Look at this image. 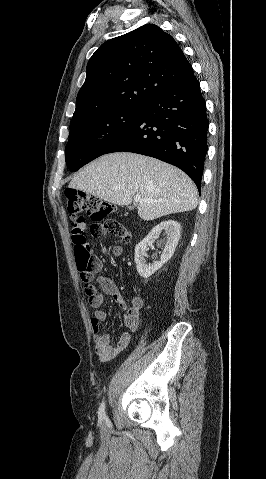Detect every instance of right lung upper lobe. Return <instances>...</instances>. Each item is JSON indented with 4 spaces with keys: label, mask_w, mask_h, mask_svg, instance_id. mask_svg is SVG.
<instances>
[{
    "label": "right lung upper lobe",
    "mask_w": 266,
    "mask_h": 479,
    "mask_svg": "<svg viewBox=\"0 0 266 479\" xmlns=\"http://www.w3.org/2000/svg\"><path fill=\"white\" fill-rule=\"evenodd\" d=\"M86 71L72 120L144 107L162 91L194 75L177 42L154 24L102 44L89 59Z\"/></svg>",
    "instance_id": "right-lung-upper-lobe-1"
}]
</instances>
